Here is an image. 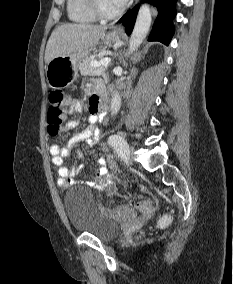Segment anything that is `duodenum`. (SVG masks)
<instances>
[{"label": "duodenum", "mask_w": 233, "mask_h": 284, "mask_svg": "<svg viewBox=\"0 0 233 284\" xmlns=\"http://www.w3.org/2000/svg\"><path fill=\"white\" fill-rule=\"evenodd\" d=\"M94 96H95V98H96L98 101H101V100L104 99V91H103L101 88H99V89L97 90L96 95H94Z\"/></svg>", "instance_id": "410a0bca"}]
</instances>
